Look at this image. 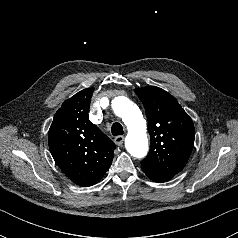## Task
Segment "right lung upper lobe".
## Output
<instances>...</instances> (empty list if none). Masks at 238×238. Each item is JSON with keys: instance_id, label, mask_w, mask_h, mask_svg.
I'll list each match as a JSON object with an SVG mask.
<instances>
[{"instance_id": "right-lung-upper-lobe-1", "label": "right lung upper lobe", "mask_w": 238, "mask_h": 238, "mask_svg": "<svg viewBox=\"0 0 238 238\" xmlns=\"http://www.w3.org/2000/svg\"><path fill=\"white\" fill-rule=\"evenodd\" d=\"M93 91L87 88L66 100L56 112L48 134L55 163L82 187L101 180L111 166L115 150L113 141L89 120Z\"/></svg>"}]
</instances>
